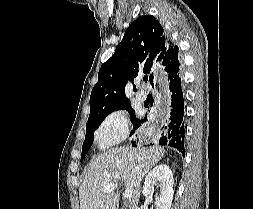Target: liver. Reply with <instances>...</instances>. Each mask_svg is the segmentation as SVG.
Returning <instances> with one entry per match:
<instances>
[{
  "label": "liver",
  "mask_w": 253,
  "mask_h": 209,
  "mask_svg": "<svg viewBox=\"0 0 253 209\" xmlns=\"http://www.w3.org/2000/svg\"><path fill=\"white\" fill-rule=\"evenodd\" d=\"M165 149L159 146L149 148L119 147L98 156L90 164L79 187L80 209H120V194L105 193L107 183L122 182L132 191L130 209H137L140 184L148 171L164 156Z\"/></svg>",
  "instance_id": "liver-1"
}]
</instances>
